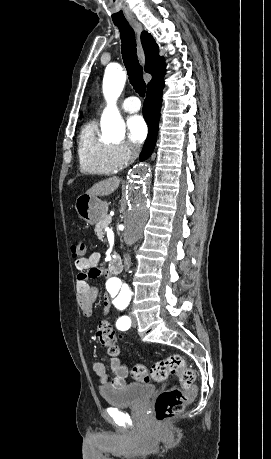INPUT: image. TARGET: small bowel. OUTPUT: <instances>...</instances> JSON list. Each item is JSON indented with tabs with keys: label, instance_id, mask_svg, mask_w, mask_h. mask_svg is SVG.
<instances>
[{
	"label": "small bowel",
	"instance_id": "c3829d8e",
	"mask_svg": "<svg viewBox=\"0 0 271 459\" xmlns=\"http://www.w3.org/2000/svg\"><path fill=\"white\" fill-rule=\"evenodd\" d=\"M100 254L91 253L88 257L79 258L75 261V267L79 271L77 275V293L81 312L85 318H90L93 313V306L98 297L96 287L90 285V280H96L104 274L99 268ZM103 316L108 315L111 303L106 297L103 303ZM93 369L103 389L120 388L126 385L128 368L118 357H113L110 363V370L103 363H95Z\"/></svg>",
	"mask_w": 271,
	"mask_h": 459
}]
</instances>
